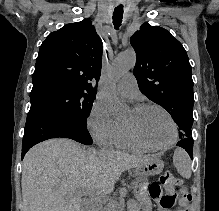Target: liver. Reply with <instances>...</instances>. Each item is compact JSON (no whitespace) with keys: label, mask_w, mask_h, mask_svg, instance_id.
Returning a JSON list of instances; mask_svg holds the SVG:
<instances>
[{"label":"liver","mask_w":219,"mask_h":211,"mask_svg":"<svg viewBox=\"0 0 219 211\" xmlns=\"http://www.w3.org/2000/svg\"><path fill=\"white\" fill-rule=\"evenodd\" d=\"M148 155L83 149L68 137L37 143L23 159V211H97L104 191L122 171L137 167ZM90 199L82 201L81 195Z\"/></svg>","instance_id":"obj_1"}]
</instances>
